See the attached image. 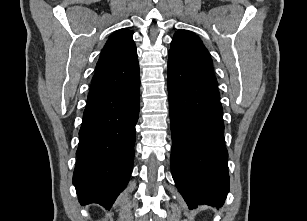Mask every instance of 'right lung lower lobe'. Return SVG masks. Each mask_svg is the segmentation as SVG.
Instances as JSON below:
<instances>
[{"mask_svg": "<svg viewBox=\"0 0 307 221\" xmlns=\"http://www.w3.org/2000/svg\"><path fill=\"white\" fill-rule=\"evenodd\" d=\"M139 106L140 78L123 90L88 100L73 174L80 203L110 209L126 187L133 167Z\"/></svg>", "mask_w": 307, "mask_h": 221, "instance_id": "98d812e1", "label": "right lung lower lobe"}]
</instances>
